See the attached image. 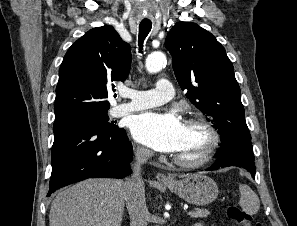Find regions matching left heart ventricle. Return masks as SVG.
Segmentation results:
<instances>
[{"instance_id": "b2bd125f", "label": "left heart ventricle", "mask_w": 297, "mask_h": 226, "mask_svg": "<svg viewBox=\"0 0 297 226\" xmlns=\"http://www.w3.org/2000/svg\"><path fill=\"white\" fill-rule=\"evenodd\" d=\"M209 140L206 131L199 125H185L180 148L176 155L186 159L198 157L205 149Z\"/></svg>"}]
</instances>
